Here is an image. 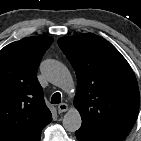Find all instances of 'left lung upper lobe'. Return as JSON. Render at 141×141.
Here are the masks:
<instances>
[{
    "label": "left lung upper lobe",
    "instance_id": "5c2ea615",
    "mask_svg": "<svg viewBox=\"0 0 141 141\" xmlns=\"http://www.w3.org/2000/svg\"><path fill=\"white\" fill-rule=\"evenodd\" d=\"M58 45L77 75L74 105L82 130L100 139L122 141L139 110L136 77L119 51L92 33L62 37Z\"/></svg>",
    "mask_w": 141,
    "mask_h": 141
}]
</instances>
